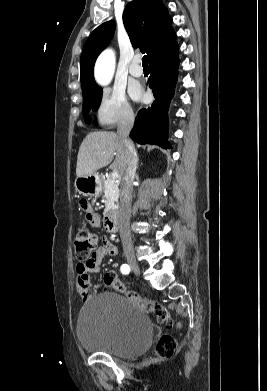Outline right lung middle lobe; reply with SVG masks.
Wrapping results in <instances>:
<instances>
[{"label":"right lung middle lobe","instance_id":"right-lung-middle-lobe-1","mask_svg":"<svg viewBox=\"0 0 267 391\" xmlns=\"http://www.w3.org/2000/svg\"><path fill=\"white\" fill-rule=\"evenodd\" d=\"M102 89L98 86L89 91L83 92V115L85 121L90 123L91 117L88 116L89 111L92 109L96 111L101 103Z\"/></svg>","mask_w":267,"mask_h":391}]
</instances>
